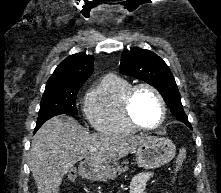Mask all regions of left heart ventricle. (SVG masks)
<instances>
[{
	"instance_id": "b2bd125f",
	"label": "left heart ventricle",
	"mask_w": 221,
	"mask_h": 193,
	"mask_svg": "<svg viewBox=\"0 0 221 193\" xmlns=\"http://www.w3.org/2000/svg\"><path fill=\"white\" fill-rule=\"evenodd\" d=\"M132 113L142 126H155L161 118L159 100L150 90L140 89L133 99Z\"/></svg>"
}]
</instances>
